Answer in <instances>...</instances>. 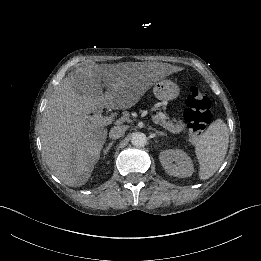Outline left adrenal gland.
I'll list each match as a JSON object with an SVG mask.
<instances>
[{
	"instance_id": "obj_1",
	"label": "left adrenal gland",
	"mask_w": 261,
	"mask_h": 261,
	"mask_svg": "<svg viewBox=\"0 0 261 261\" xmlns=\"http://www.w3.org/2000/svg\"><path fill=\"white\" fill-rule=\"evenodd\" d=\"M156 134L157 135H162V136H167V134L166 133H164V132H162V131H156Z\"/></svg>"
}]
</instances>
